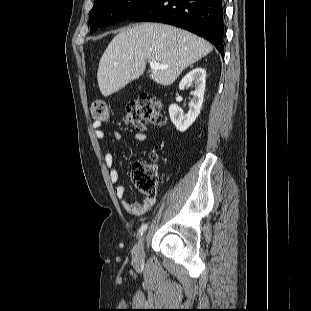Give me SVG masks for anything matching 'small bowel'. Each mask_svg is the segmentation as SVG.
<instances>
[{
	"mask_svg": "<svg viewBox=\"0 0 311 311\" xmlns=\"http://www.w3.org/2000/svg\"><path fill=\"white\" fill-rule=\"evenodd\" d=\"M102 125L100 122L95 121L92 124L93 133L96 139L103 140L105 134L102 130ZM114 138L117 141L122 139V134L120 132L114 133ZM134 139L137 142H145L147 140V135L143 132H137L134 134ZM104 164L109 171V179L115 184L114 190L117 198L121 201L122 207L131 215L140 217L146 214L152 206L155 204V197H145L142 201L129 202L125 199V188L123 185L118 184L119 172L116 167H114V157L112 153L106 152L104 154Z\"/></svg>",
	"mask_w": 311,
	"mask_h": 311,
	"instance_id": "small-bowel-1",
	"label": "small bowel"
}]
</instances>
